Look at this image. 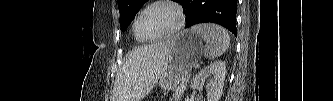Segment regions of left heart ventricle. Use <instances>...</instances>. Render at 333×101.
Listing matches in <instances>:
<instances>
[{
  "instance_id": "1",
  "label": "left heart ventricle",
  "mask_w": 333,
  "mask_h": 101,
  "mask_svg": "<svg viewBox=\"0 0 333 101\" xmlns=\"http://www.w3.org/2000/svg\"><path fill=\"white\" fill-rule=\"evenodd\" d=\"M178 17L174 9L164 5L148 9L140 18V30L147 37H157L171 31Z\"/></svg>"
}]
</instances>
